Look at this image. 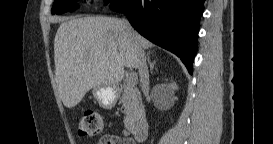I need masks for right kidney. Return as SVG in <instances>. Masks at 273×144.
<instances>
[{"label": "right kidney", "instance_id": "1", "mask_svg": "<svg viewBox=\"0 0 273 144\" xmlns=\"http://www.w3.org/2000/svg\"><path fill=\"white\" fill-rule=\"evenodd\" d=\"M157 90L164 94L166 98H171L174 95V90L177 88L175 84L170 85H158Z\"/></svg>", "mask_w": 273, "mask_h": 144}]
</instances>
